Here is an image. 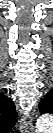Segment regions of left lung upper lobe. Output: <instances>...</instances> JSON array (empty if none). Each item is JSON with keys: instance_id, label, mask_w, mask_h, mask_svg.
Here are the masks:
<instances>
[{"instance_id": "left-lung-upper-lobe-1", "label": "left lung upper lobe", "mask_w": 53, "mask_h": 133, "mask_svg": "<svg viewBox=\"0 0 53 133\" xmlns=\"http://www.w3.org/2000/svg\"><path fill=\"white\" fill-rule=\"evenodd\" d=\"M41 113H53V95L49 92L39 105Z\"/></svg>"}]
</instances>
